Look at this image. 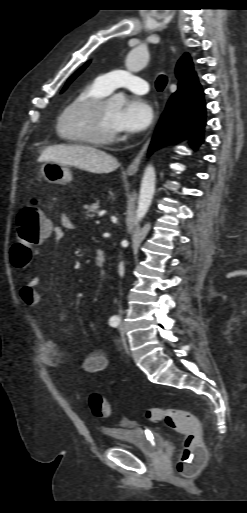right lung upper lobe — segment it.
I'll return each instance as SVG.
<instances>
[{
	"label": "right lung upper lobe",
	"mask_w": 247,
	"mask_h": 513,
	"mask_svg": "<svg viewBox=\"0 0 247 513\" xmlns=\"http://www.w3.org/2000/svg\"><path fill=\"white\" fill-rule=\"evenodd\" d=\"M176 77L179 79L178 90H188L198 84V78L193 72V63L188 53H185L177 63L175 69Z\"/></svg>",
	"instance_id": "1"
}]
</instances>
